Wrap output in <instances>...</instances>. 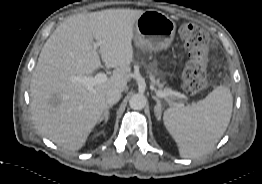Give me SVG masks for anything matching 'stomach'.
<instances>
[{
	"label": "stomach",
	"mask_w": 262,
	"mask_h": 184,
	"mask_svg": "<svg viewBox=\"0 0 262 184\" xmlns=\"http://www.w3.org/2000/svg\"><path fill=\"white\" fill-rule=\"evenodd\" d=\"M175 31L176 24L168 15L157 10H146L134 24V42L144 50H165L171 45Z\"/></svg>",
	"instance_id": "0dacf381"
}]
</instances>
